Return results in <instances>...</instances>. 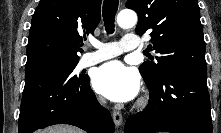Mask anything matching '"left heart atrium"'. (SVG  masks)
Here are the masks:
<instances>
[{"label": "left heart atrium", "mask_w": 221, "mask_h": 133, "mask_svg": "<svg viewBox=\"0 0 221 133\" xmlns=\"http://www.w3.org/2000/svg\"><path fill=\"white\" fill-rule=\"evenodd\" d=\"M92 85L96 92L116 102L132 100L140 89L137 73L118 60L98 67Z\"/></svg>", "instance_id": "left-heart-atrium-1"}]
</instances>
